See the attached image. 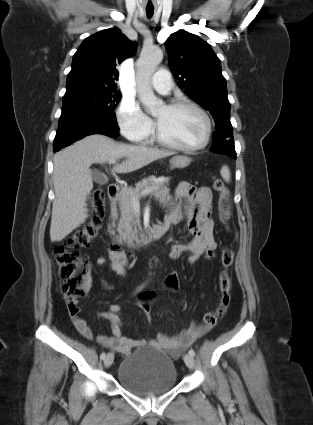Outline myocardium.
Segmentation results:
<instances>
[{"label": "myocardium", "mask_w": 313, "mask_h": 425, "mask_svg": "<svg viewBox=\"0 0 313 425\" xmlns=\"http://www.w3.org/2000/svg\"><path fill=\"white\" fill-rule=\"evenodd\" d=\"M166 107L168 109H171V110H176V109H181V108H189V109L196 111L198 114H200V116L203 118L204 123H205L204 137L198 145L193 146V147H184V146L174 144V143L169 142L166 139H164L162 137V135L160 134V132L157 128V125H156L155 129H154V139H155V141L163 147H166V148L171 149V150L183 152V153H195V152H198V151L204 149L208 145V143L210 142L211 135H212V121H211V118L208 115V113L198 104L191 102V101H186V100L171 102Z\"/></svg>", "instance_id": "obj_1"}]
</instances>
